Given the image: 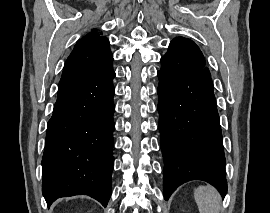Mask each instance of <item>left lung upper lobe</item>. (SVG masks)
<instances>
[{
  "label": "left lung upper lobe",
  "mask_w": 270,
  "mask_h": 213,
  "mask_svg": "<svg viewBox=\"0 0 270 213\" xmlns=\"http://www.w3.org/2000/svg\"><path fill=\"white\" fill-rule=\"evenodd\" d=\"M161 65V69L167 71L202 70L209 73L198 46L183 37H176L170 42L168 52L161 58Z\"/></svg>",
  "instance_id": "obj_1"
}]
</instances>
